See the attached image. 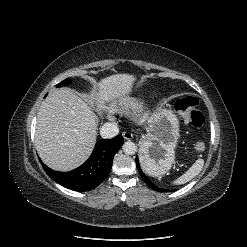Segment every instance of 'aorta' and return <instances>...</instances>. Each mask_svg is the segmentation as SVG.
Listing matches in <instances>:
<instances>
[{"label": "aorta", "instance_id": "762f6f07", "mask_svg": "<svg viewBox=\"0 0 247 247\" xmlns=\"http://www.w3.org/2000/svg\"><path fill=\"white\" fill-rule=\"evenodd\" d=\"M122 149L125 154L133 155L137 150V146L135 145V143L127 141L123 144Z\"/></svg>", "mask_w": 247, "mask_h": 247}]
</instances>
